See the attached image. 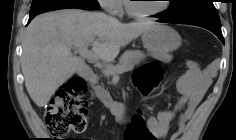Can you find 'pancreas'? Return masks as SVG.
I'll return each instance as SVG.
<instances>
[{
  "instance_id": "obj_1",
  "label": "pancreas",
  "mask_w": 236,
  "mask_h": 140,
  "mask_svg": "<svg viewBox=\"0 0 236 140\" xmlns=\"http://www.w3.org/2000/svg\"><path fill=\"white\" fill-rule=\"evenodd\" d=\"M146 58V55L139 50L125 51L119 60L117 66L106 65L103 69V74L107 77L115 73L114 69H122L123 71H128L134 68L135 65L139 64Z\"/></svg>"
}]
</instances>
